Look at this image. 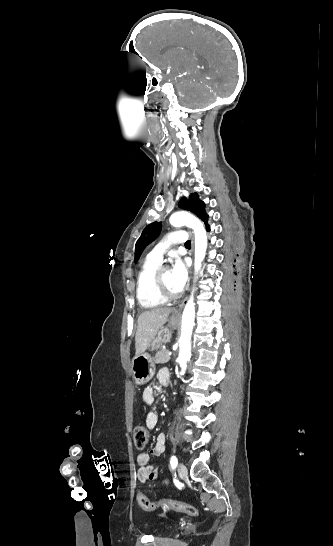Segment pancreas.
<instances>
[{
  "label": "pancreas",
  "mask_w": 333,
  "mask_h": 546,
  "mask_svg": "<svg viewBox=\"0 0 333 546\" xmlns=\"http://www.w3.org/2000/svg\"><path fill=\"white\" fill-rule=\"evenodd\" d=\"M168 352L169 351L167 349H160L154 357V362L157 364L167 363L170 360Z\"/></svg>",
  "instance_id": "1"
}]
</instances>
